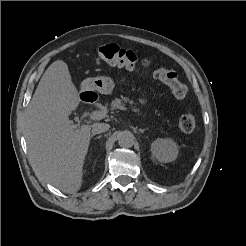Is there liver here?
<instances>
[{"mask_svg": "<svg viewBox=\"0 0 246 246\" xmlns=\"http://www.w3.org/2000/svg\"><path fill=\"white\" fill-rule=\"evenodd\" d=\"M80 103L67 64L53 62L44 72L28 105L25 139L38 176L65 193L82 185L91 125L75 127L69 120Z\"/></svg>", "mask_w": 246, "mask_h": 246, "instance_id": "6515ba94", "label": "liver"}]
</instances>
